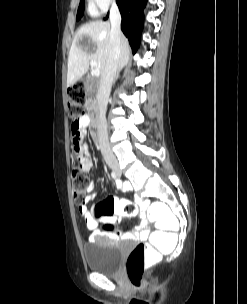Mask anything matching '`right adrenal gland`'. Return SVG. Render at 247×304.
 Returning a JSON list of instances; mask_svg holds the SVG:
<instances>
[{
    "mask_svg": "<svg viewBox=\"0 0 247 304\" xmlns=\"http://www.w3.org/2000/svg\"><path fill=\"white\" fill-rule=\"evenodd\" d=\"M120 71H121V68L118 69L117 73H116V76L114 78V81H113V84L117 81V79L120 77Z\"/></svg>",
    "mask_w": 247,
    "mask_h": 304,
    "instance_id": "2a0ac1e0",
    "label": "right adrenal gland"
}]
</instances>
